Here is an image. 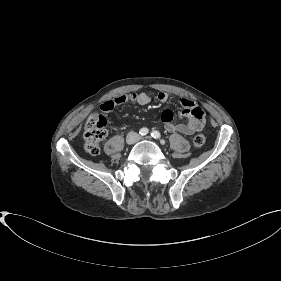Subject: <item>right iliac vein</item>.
Wrapping results in <instances>:
<instances>
[{"mask_svg": "<svg viewBox=\"0 0 281 281\" xmlns=\"http://www.w3.org/2000/svg\"><path fill=\"white\" fill-rule=\"evenodd\" d=\"M134 142V137L133 136H131V137H129L128 139H127V143L128 144H132Z\"/></svg>", "mask_w": 281, "mask_h": 281, "instance_id": "obj_1", "label": "right iliac vein"}]
</instances>
